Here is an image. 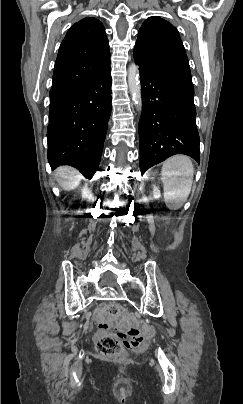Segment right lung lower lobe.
I'll list each match as a JSON object with an SVG mask.
<instances>
[{
  "instance_id": "1",
  "label": "right lung lower lobe",
  "mask_w": 243,
  "mask_h": 404,
  "mask_svg": "<svg viewBox=\"0 0 243 404\" xmlns=\"http://www.w3.org/2000/svg\"><path fill=\"white\" fill-rule=\"evenodd\" d=\"M50 95L48 161L71 165L86 178L97 171L111 114V75Z\"/></svg>"
}]
</instances>
